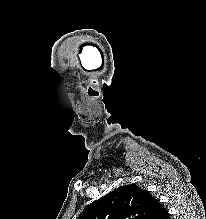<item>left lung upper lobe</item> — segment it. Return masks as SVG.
<instances>
[{"label": "left lung upper lobe", "instance_id": "5c2ea615", "mask_svg": "<svg viewBox=\"0 0 206 219\" xmlns=\"http://www.w3.org/2000/svg\"><path fill=\"white\" fill-rule=\"evenodd\" d=\"M154 199L135 184L120 186L90 204L78 219H149Z\"/></svg>", "mask_w": 206, "mask_h": 219}]
</instances>
